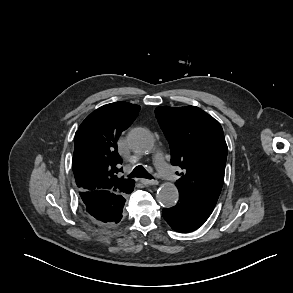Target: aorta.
<instances>
[{"instance_id":"762f6f07","label":"aorta","mask_w":293,"mask_h":293,"mask_svg":"<svg viewBox=\"0 0 293 293\" xmlns=\"http://www.w3.org/2000/svg\"><path fill=\"white\" fill-rule=\"evenodd\" d=\"M128 141L133 150L143 154L151 152L155 145L154 136L144 128L133 129L128 136ZM157 198L163 206L172 207L179 199L178 189L173 183H164L158 190Z\"/></svg>"}]
</instances>
